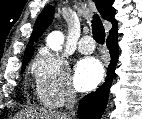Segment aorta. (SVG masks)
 I'll use <instances>...</instances> for the list:
<instances>
[{"label": "aorta", "mask_w": 142, "mask_h": 119, "mask_svg": "<svg viewBox=\"0 0 142 119\" xmlns=\"http://www.w3.org/2000/svg\"><path fill=\"white\" fill-rule=\"evenodd\" d=\"M64 41V36L61 32L55 31L48 35L47 45L54 51L61 49V44Z\"/></svg>", "instance_id": "aorta-1"}]
</instances>
